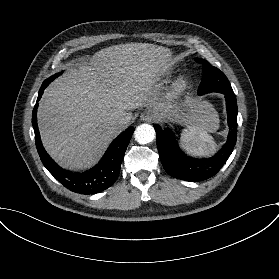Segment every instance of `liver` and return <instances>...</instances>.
<instances>
[{"label": "liver", "mask_w": 279, "mask_h": 279, "mask_svg": "<svg viewBox=\"0 0 279 279\" xmlns=\"http://www.w3.org/2000/svg\"><path fill=\"white\" fill-rule=\"evenodd\" d=\"M170 49L149 43H126L96 52L72 75L56 79L44 92L38 124L47 153L63 168L85 169L100 159L111 141L126 126L108 123L114 115L150 106L166 112L156 102L159 72L170 67ZM182 119L193 124L202 118L205 101L193 100ZM128 116L132 118L129 112Z\"/></svg>", "instance_id": "1"}]
</instances>
